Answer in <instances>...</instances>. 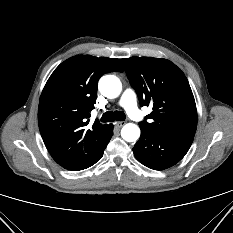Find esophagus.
<instances>
[{
	"label": "esophagus",
	"instance_id": "34e87169",
	"mask_svg": "<svg viewBox=\"0 0 233 233\" xmlns=\"http://www.w3.org/2000/svg\"><path fill=\"white\" fill-rule=\"evenodd\" d=\"M126 124V122H124V121H119V122H116V125H117V127H122V126H124Z\"/></svg>",
	"mask_w": 233,
	"mask_h": 233
}]
</instances>
